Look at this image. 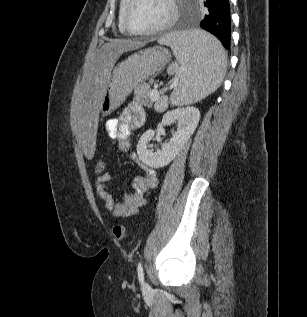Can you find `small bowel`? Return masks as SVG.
Returning <instances> with one entry per match:
<instances>
[{
    "label": "small bowel",
    "instance_id": "small-bowel-1",
    "mask_svg": "<svg viewBox=\"0 0 307 317\" xmlns=\"http://www.w3.org/2000/svg\"><path fill=\"white\" fill-rule=\"evenodd\" d=\"M145 111L136 102L130 103L122 110L117 118H112L106 123V132L108 136L117 141L119 148L127 152L130 148V134L132 130L143 125L145 122ZM136 159L134 154H131ZM138 165L144 174L134 178L132 182L133 192L123 197L122 201L114 198L109 190V183L113 180L112 175L105 172L98 175L95 181V190L99 199L104 203L115 217L123 218L139 212L145 205V194L157 185V174L155 169L143 164L137 160Z\"/></svg>",
    "mask_w": 307,
    "mask_h": 317
}]
</instances>
